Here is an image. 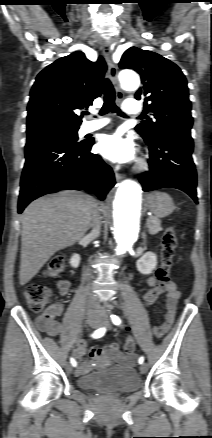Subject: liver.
Segmentation results:
<instances>
[{"label":"liver","mask_w":212,"mask_h":438,"mask_svg":"<svg viewBox=\"0 0 212 438\" xmlns=\"http://www.w3.org/2000/svg\"><path fill=\"white\" fill-rule=\"evenodd\" d=\"M97 209L92 196L75 190L29 204L21 216L20 285L28 283L57 251L83 238Z\"/></svg>","instance_id":"1"}]
</instances>
